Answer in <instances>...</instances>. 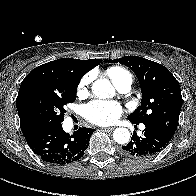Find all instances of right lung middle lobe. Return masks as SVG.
<instances>
[{
  "mask_svg": "<svg viewBox=\"0 0 196 196\" xmlns=\"http://www.w3.org/2000/svg\"><path fill=\"white\" fill-rule=\"evenodd\" d=\"M77 86L78 83H51L32 87L22 99V111L37 130L61 124L64 105L75 101Z\"/></svg>",
  "mask_w": 196,
  "mask_h": 196,
  "instance_id": "right-lung-middle-lobe-1",
  "label": "right lung middle lobe"
}]
</instances>
